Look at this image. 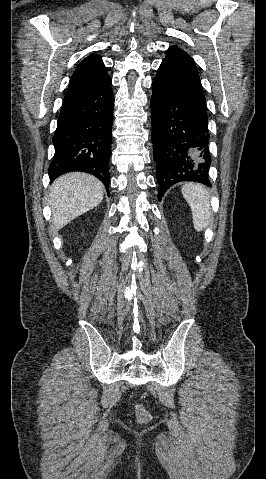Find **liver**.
<instances>
[{
  "label": "liver",
  "instance_id": "liver-1",
  "mask_svg": "<svg viewBox=\"0 0 266 479\" xmlns=\"http://www.w3.org/2000/svg\"><path fill=\"white\" fill-rule=\"evenodd\" d=\"M104 186L96 177L86 173H68L51 186L49 205L55 231L73 219L98 206L103 200Z\"/></svg>",
  "mask_w": 266,
  "mask_h": 479
}]
</instances>
